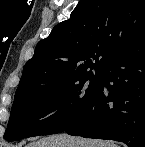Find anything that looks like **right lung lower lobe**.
I'll return each instance as SVG.
<instances>
[{
	"label": "right lung lower lobe",
	"instance_id": "98d812e1",
	"mask_svg": "<svg viewBox=\"0 0 145 147\" xmlns=\"http://www.w3.org/2000/svg\"><path fill=\"white\" fill-rule=\"evenodd\" d=\"M64 132L145 147V33L103 68L95 97Z\"/></svg>",
	"mask_w": 145,
	"mask_h": 147
}]
</instances>
